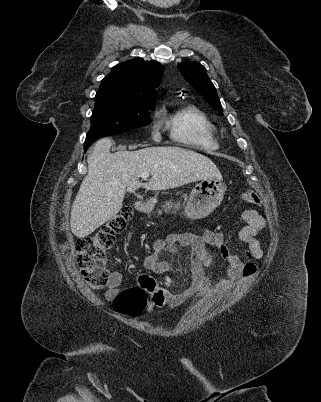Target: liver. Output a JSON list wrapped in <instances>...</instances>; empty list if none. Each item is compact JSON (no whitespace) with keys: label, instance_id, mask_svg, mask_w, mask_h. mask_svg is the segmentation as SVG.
Wrapping results in <instances>:
<instances>
[{"label":"liver","instance_id":"1","mask_svg":"<svg viewBox=\"0 0 321 402\" xmlns=\"http://www.w3.org/2000/svg\"><path fill=\"white\" fill-rule=\"evenodd\" d=\"M112 141L100 139L88 155V173L81 183L70 214V228L84 238L114 218L122 207L126 190H166L192 182L219 178L208 157L181 147H147L110 153ZM151 178L138 181L141 173Z\"/></svg>","mask_w":321,"mask_h":402}]
</instances>
